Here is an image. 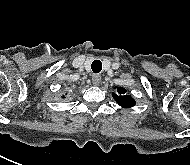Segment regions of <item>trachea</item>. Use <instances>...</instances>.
I'll use <instances>...</instances> for the list:
<instances>
[{"mask_svg":"<svg viewBox=\"0 0 190 165\" xmlns=\"http://www.w3.org/2000/svg\"><path fill=\"white\" fill-rule=\"evenodd\" d=\"M92 71L99 73L102 70V63L100 60H94L91 65Z\"/></svg>","mask_w":190,"mask_h":165,"instance_id":"1","label":"trachea"}]
</instances>
